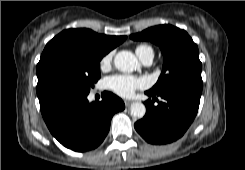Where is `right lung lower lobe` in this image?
Masks as SVG:
<instances>
[{
    "instance_id": "1",
    "label": "right lung lower lobe",
    "mask_w": 245,
    "mask_h": 170,
    "mask_svg": "<svg viewBox=\"0 0 245 170\" xmlns=\"http://www.w3.org/2000/svg\"><path fill=\"white\" fill-rule=\"evenodd\" d=\"M87 95L66 96L40 107L51 134L65 147L84 152L98 147L108 134L116 112L124 102L110 92L102 93V101L89 103Z\"/></svg>"
}]
</instances>
